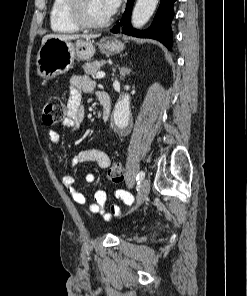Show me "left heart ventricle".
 <instances>
[{"label":"left heart ventricle","mask_w":247,"mask_h":296,"mask_svg":"<svg viewBox=\"0 0 247 296\" xmlns=\"http://www.w3.org/2000/svg\"><path fill=\"white\" fill-rule=\"evenodd\" d=\"M84 12L90 22H103L109 18L103 0H86Z\"/></svg>","instance_id":"1"}]
</instances>
